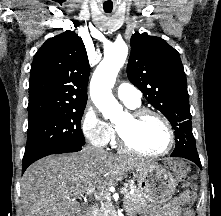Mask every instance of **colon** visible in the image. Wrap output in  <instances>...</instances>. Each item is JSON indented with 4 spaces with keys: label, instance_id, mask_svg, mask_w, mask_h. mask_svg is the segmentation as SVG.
<instances>
[{
    "label": "colon",
    "instance_id": "1",
    "mask_svg": "<svg viewBox=\"0 0 221 216\" xmlns=\"http://www.w3.org/2000/svg\"><path fill=\"white\" fill-rule=\"evenodd\" d=\"M171 168L175 174L182 179L185 183L187 182L188 166L182 161H173Z\"/></svg>",
    "mask_w": 221,
    "mask_h": 216
}]
</instances>
